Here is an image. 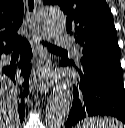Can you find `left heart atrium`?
<instances>
[{
	"mask_svg": "<svg viewBox=\"0 0 125 128\" xmlns=\"http://www.w3.org/2000/svg\"><path fill=\"white\" fill-rule=\"evenodd\" d=\"M48 78V75L46 73H42L41 75L39 74L38 80L40 81H46Z\"/></svg>",
	"mask_w": 125,
	"mask_h": 128,
	"instance_id": "39dd6f15",
	"label": "left heart atrium"
}]
</instances>
